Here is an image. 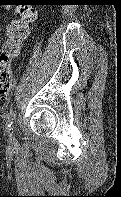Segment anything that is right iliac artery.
<instances>
[{"label": "right iliac artery", "instance_id": "1", "mask_svg": "<svg viewBox=\"0 0 121 197\" xmlns=\"http://www.w3.org/2000/svg\"><path fill=\"white\" fill-rule=\"evenodd\" d=\"M14 118H15V113H14V111H10V113H9L8 116H7V121H6V128H7V131H8V132L11 131V127H12Z\"/></svg>", "mask_w": 121, "mask_h": 197}]
</instances>
